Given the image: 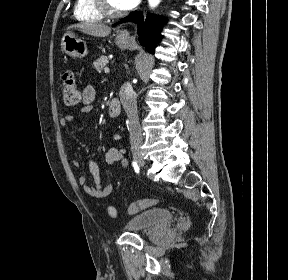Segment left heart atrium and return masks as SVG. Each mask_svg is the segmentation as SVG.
<instances>
[{
    "label": "left heart atrium",
    "mask_w": 288,
    "mask_h": 280,
    "mask_svg": "<svg viewBox=\"0 0 288 280\" xmlns=\"http://www.w3.org/2000/svg\"><path fill=\"white\" fill-rule=\"evenodd\" d=\"M139 0H116L117 6L120 10H128L133 8Z\"/></svg>",
    "instance_id": "obj_1"
}]
</instances>
